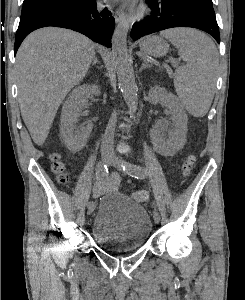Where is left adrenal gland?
I'll return each mask as SVG.
<instances>
[{
  "label": "left adrenal gland",
  "instance_id": "a2214340",
  "mask_svg": "<svg viewBox=\"0 0 245 300\" xmlns=\"http://www.w3.org/2000/svg\"><path fill=\"white\" fill-rule=\"evenodd\" d=\"M146 68H150V65L147 63L146 59H143V64L140 68V72H142Z\"/></svg>",
  "mask_w": 245,
  "mask_h": 300
}]
</instances>
